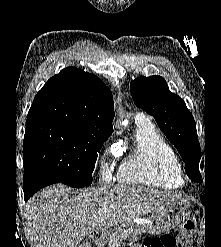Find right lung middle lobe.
Here are the masks:
<instances>
[{"instance_id": "right-lung-middle-lobe-1", "label": "right lung middle lobe", "mask_w": 221, "mask_h": 247, "mask_svg": "<svg viewBox=\"0 0 221 247\" xmlns=\"http://www.w3.org/2000/svg\"><path fill=\"white\" fill-rule=\"evenodd\" d=\"M107 139L68 127L26 129L24 164H33L68 186L86 187Z\"/></svg>"}]
</instances>
